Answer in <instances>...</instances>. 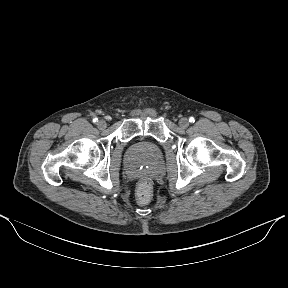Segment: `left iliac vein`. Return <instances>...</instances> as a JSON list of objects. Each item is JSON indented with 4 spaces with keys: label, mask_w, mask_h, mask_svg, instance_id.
<instances>
[{
    "label": "left iliac vein",
    "mask_w": 288,
    "mask_h": 288,
    "mask_svg": "<svg viewBox=\"0 0 288 288\" xmlns=\"http://www.w3.org/2000/svg\"><path fill=\"white\" fill-rule=\"evenodd\" d=\"M179 126L183 129L187 128L189 126V120L187 118H181L179 120Z\"/></svg>",
    "instance_id": "left-iliac-vein-1"
}]
</instances>
